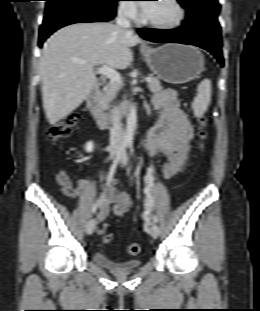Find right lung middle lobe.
Segmentation results:
<instances>
[{
    "instance_id": "1",
    "label": "right lung middle lobe",
    "mask_w": 260,
    "mask_h": 311,
    "mask_svg": "<svg viewBox=\"0 0 260 311\" xmlns=\"http://www.w3.org/2000/svg\"><path fill=\"white\" fill-rule=\"evenodd\" d=\"M94 1L105 7L112 8V7H115V3L118 0H94Z\"/></svg>"
}]
</instances>
